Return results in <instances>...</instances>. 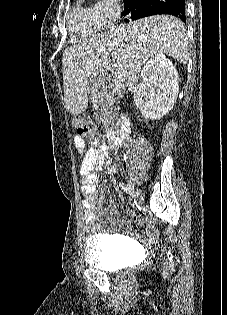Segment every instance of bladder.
I'll list each match as a JSON object with an SVG mask.
<instances>
[{"label":"bladder","mask_w":227,"mask_h":315,"mask_svg":"<svg viewBox=\"0 0 227 315\" xmlns=\"http://www.w3.org/2000/svg\"><path fill=\"white\" fill-rule=\"evenodd\" d=\"M132 242L115 235H96L86 238L84 259L87 266L99 270H117L125 264Z\"/></svg>","instance_id":"bladder-1"}]
</instances>
